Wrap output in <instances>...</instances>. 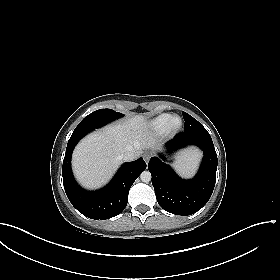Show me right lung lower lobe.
I'll return each instance as SVG.
<instances>
[{
  "mask_svg": "<svg viewBox=\"0 0 280 280\" xmlns=\"http://www.w3.org/2000/svg\"><path fill=\"white\" fill-rule=\"evenodd\" d=\"M88 132L72 134L63 160L62 176L66 195L71 204L91 219H109L120 214L126 207L129 189L135 179L146 169L143 158L125 163L112 181L99 191H86L74 180L71 171V155L75 145Z\"/></svg>",
  "mask_w": 280,
  "mask_h": 280,
  "instance_id": "98d812e1",
  "label": "right lung lower lobe"
}]
</instances>
